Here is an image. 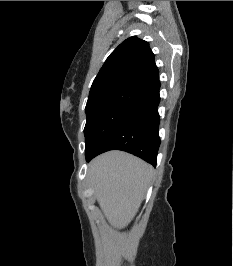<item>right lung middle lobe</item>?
I'll return each mask as SVG.
<instances>
[{"mask_svg":"<svg viewBox=\"0 0 233 266\" xmlns=\"http://www.w3.org/2000/svg\"><path fill=\"white\" fill-rule=\"evenodd\" d=\"M147 94L142 91H120L88 100L85 108V154L95 151Z\"/></svg>","mask_w":233,"mask_h":266,"instance_id":"1","label":"right lung middle lobe"}]
</instances>
